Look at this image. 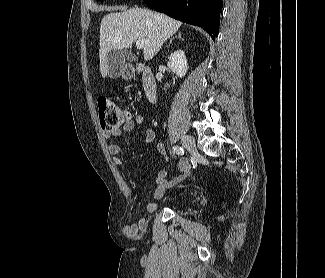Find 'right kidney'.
<instances>
[{"label": "right kidney", "instance_id": "right-kidney-1", "mask_svg": "<svg viewBox=\"0 0 325 278\" xmlns=\"http://www.w3.org/2000/svg\"><path fill=\"white\" fill-rule=\"evenodd\" d=\"M167 66L180 78L184 77L187 72V59L184 51L177 50L170 54Z\"/></svg>", "mask_w": 325, "mask_h": 278}]
</instances>
